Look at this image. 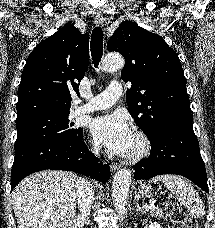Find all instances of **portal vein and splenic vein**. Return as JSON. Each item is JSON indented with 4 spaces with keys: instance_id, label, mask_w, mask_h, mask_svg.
<instances>
[{
    "instance_id": "obj_1",
    "label": "portal vein and splenic vein",
    "mask_w": 215,
    "mask_h": 228,
    "mask_svg": "<svg viewBox=\"0 0 215 228\" xmlns=\"http://www.w3.org/2000/svg\"><path fill=\"white\" fill-rule=\"evenodd\" d=\"M151 208H154L153 204H149V206H144V210H151Z\"/></svg>"
}]
</instances>
